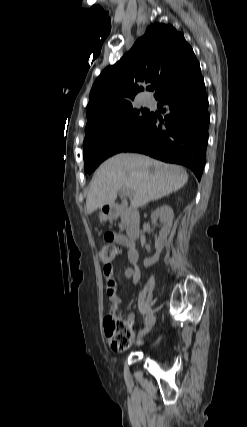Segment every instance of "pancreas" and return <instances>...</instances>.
<instances>
[{"instance_id": "obj_1", "label": "pancreas", "mask_w": 247, "mask_h": 427, "mask_svg": "<svg viewBox=\"0 0 247 427\" xmlns=\"http://www.w3.org/2000/svg\"><path fill=\"white\" fill-rule=\"evenodd\" d=\"M124 227H125V225H124V223H122L121 226H120V228L124 229Z\"/></svg>"}]
</instances>
